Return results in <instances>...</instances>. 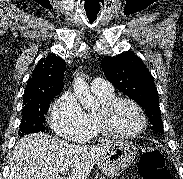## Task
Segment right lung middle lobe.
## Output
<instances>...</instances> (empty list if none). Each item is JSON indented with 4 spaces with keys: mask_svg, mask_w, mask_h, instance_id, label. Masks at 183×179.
I'll return each instance as SVG.
<instances>
[{
    "mask_svg": "<svg viewBox=\"0 0 183 179\" xmlns=\"http://www.w3.org/2000/svg\"><path fill=\"white\" fill-rule=\"evenodd\" d=\"M51 97L41 98L24 104L22 109V119L19 126V135L24 136L31 133L43 132L45 127V114L47 113Z\"/></svg>",
    "mask_w": 183,
    "mask_h": 179,
    "instance_id": "1",
    "label": "right lung middle lobe"
}]
</instances>
